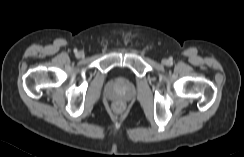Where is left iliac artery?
Wrapping results in <instances>:
<instances>
[{
	"label": "left iliac artery",
	"instance_id": "44dca946",
	"mask_svg": "<svg viewBox=\"0 0 244 157\" xmlns=\"http://www.w3.org/2000/svg\"><path fill=\"white\" fill-rule=\"evenodd\" d=\"M172 61H173V59H172V58H170V59H169V62H170V63H172Z\"/></svg>",
	"mask_w": 244,
	"mask_h": 157
}]
</instances>
